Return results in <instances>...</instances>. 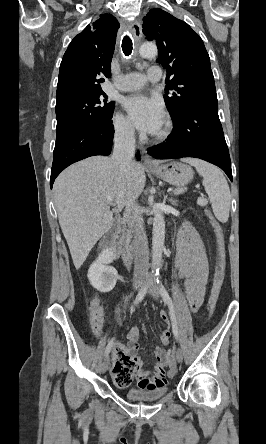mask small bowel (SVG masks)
Listing matches in <instances>:
<instances>
[{"label":"small bowel","mask_w":266,"mask_h":444,"mask_svg":"<svg viewBox=\"0 0 266 444\" xmlns=\"http://www.w3.org/2000/svg\"><path fill=\"white\" fill-rule=\"evenodd\" d=\"M175 269L177 274L185 279L184 287L187 300L192 311H197L204 299L208 283V261L203 250L201 239L196 230L189 224L183 225L176 240ZM90 329L95 337L102 334L105 310L99 295H96L89 307ZM162 321L168 325L167 314L160 313ZM122 323L121 318L118 317ZM126 345L117 343L113 349V366L111 376L114 385L119 389L128 388L133 379L141 389H154L166 386V370L169 368L166 350L163 346L169 344L171 332L167 328L160 335L161 346L154 350L157 364L152 376L144 370L143 361L137 355L140 338L138 328H131L127 335ZM170 369V368H169ZM173 374L174 370H170Z\"/></svg>","instance_id":"c3829d8e"}]
</instances>
